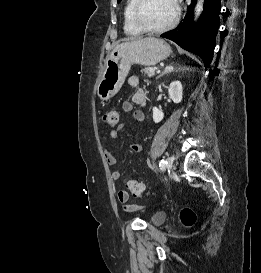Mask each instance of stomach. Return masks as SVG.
<instances>
[{
  "label": "stomach",
  "instance_id": "stomach-1",
  "mask_svg": "<svg viewBox=\"0 0 261 273\" xmlns=\"http://www.w3.org/2000/svg\"><path fill=\"white\" fill-rule=\"evenodd\" d=\"M170 46L162 39L146 37L117 45L105 61V69L97 85V95L102 101L118 93L133 64L153 66L166 59Z\"/></svg>",
  "mask_w": 261,
  "mask_h": 273
}]
</instances>
